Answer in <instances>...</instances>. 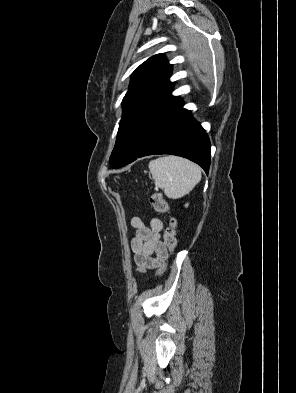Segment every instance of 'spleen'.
Masks as SVG:
<instances>
[{
    "label": "spleen",
    "instance_id": "1",
    "mask_svg": "<svg viewBox=\"0 0 296 393\" xmlns=\"http://www.w3.org/2000/svg\"><path fill=\"white\" fill-rule=\"evenodd\" d=\"M149 170L155 185L171 199L188 194L201 180V169L195 163L176 156H165L152 160Z\"/></svg>",
    "mask_w": 296,
    "mask_h": 393
}]
</instances>
